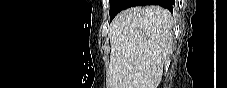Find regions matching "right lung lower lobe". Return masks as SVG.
I'll return each instance as SVG.
<instances>
[{
    "label": "right lung lower lobe",
    "mask_w": 227,
    "mask_h": 88,
    "mask_svg": "<svg viewBox=\"0 0 227 88\" xmlns=\"http://www.w3.org/2000/svg\"><path fill=\"white\" fill-rule=\"evenodd\" d=\"M174 4V0H129L124 9L139 5H160L172 13Z\"/></svg>",
    "instance_id": "right-lung-lower-lobe-1"
}]
</instances>
